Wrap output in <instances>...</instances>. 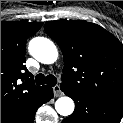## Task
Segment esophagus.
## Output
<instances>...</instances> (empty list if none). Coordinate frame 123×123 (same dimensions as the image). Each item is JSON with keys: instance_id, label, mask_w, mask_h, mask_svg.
I'll return each mask as SVG.
<instances>
[{"instance_id": "esophagus-1", "label": "esophagus", "mask_w": 123, "mask_h": 123, "mask_svg": "<svg viewBox=\"0 0 123 123\" xmlns=\"http://www.w3.org/2000/svg\"><path fill=\"white\" fill-rule=\"evenodd\" d=\"M53 93H54V97H60L63 95L59 85H55L53 87Z\"/></svg>"}]
</instances>
